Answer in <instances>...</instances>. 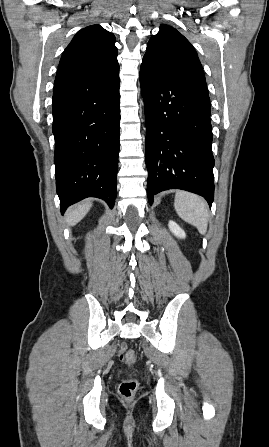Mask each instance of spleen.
Returning <instances> with one entry per match:
<instances>
[{"instance_id":"spleen-1","label":"spleen","mask_w":269,"mask_h":447,"mask_svg":"<svg viewBox=\"0 0 269 447\" xmlns=\"http://www.w3.org/2000/svg\"><path fill=\"white\" fill-rule=\"evenodd\" d=\"M174 208L188 224L195 225L200 233H206L208 225V206L200 196L189 192H176Z\"/></svg>"}]
</instances>
